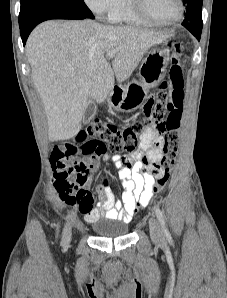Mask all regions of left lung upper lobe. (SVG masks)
Wrapping results in <instances>:
<instances>
[{"mask_svg": "<svg viewBox=\"0 0 227 298\" xmlns=\"http://www.w3.org/2000/svg\"><path fill=\"white\" fill-rule=\"evenodd\" d=\"M186 7V15L183 26L194 36L201 35L202 31V2L203 0H183Z\"/></svg>", "mask_w": 227, "mask_h": 298, "instance_id": "1", "label": "left lung upper lobe"}]
</instances>
